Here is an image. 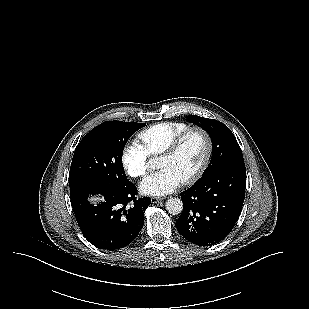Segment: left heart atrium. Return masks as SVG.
I'll return each mask as SVG.
<instances>
[{"instance_id":"obj_1","label":"left heart atrium","mask_w":309,"mask_h":309,"mask_svg":"<svg viewBox=\"0 0 309 309\" xmlns=\"http://www.w3.org/2000/svg\"><path fill=\"white\" fill-rule=\"evenodd\" d=\"M182 183L175 171L165 168L147 176L140 184V191L145 195L164 196L174 192Z\"/></svg>"}]
</instances>
